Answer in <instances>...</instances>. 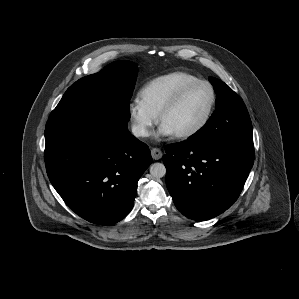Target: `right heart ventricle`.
<instances>
[{
  "mask_svg": "<svg viewBox=\"0 0 299 299\" xmlns=\"http://www.w3.org/2000/svg\"><path fill=\"white\" fill-rule=\"evenodd\" d=\"M197 79L195 75L183 71L156 77L140 90V101L158 116L161 109L182 86Z\"/></svg>",
  "mask_w": 299,
  "mask_h": 299,
  "instance_id": "right-heart-ventricle-1",
  "label": "right heart ventricle"
}]
</instances>
